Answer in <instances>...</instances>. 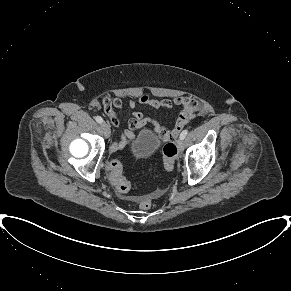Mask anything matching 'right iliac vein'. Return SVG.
<instances>
[{
	"label": "right iliac vein",
	"instance_id": "right-iliac-vein-1",
	"mask_svg": "<svg viewBox=\"0 0 291 291\" xmlns=\"http://www.w3.org/2000/svg\"><path fill=\"white\" fill-rule=\"evenodd\" d=\"M101 128L103 130V133H104L105 137H109L110 134H111L110 126L106 122H102L101 123Z\"/></svg>",
	"mask_w": 291,
	"mask_h": 291
}]
</instances>
